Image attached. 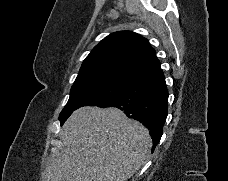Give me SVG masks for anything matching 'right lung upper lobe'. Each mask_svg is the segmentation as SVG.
<instances>
[{
	"mask_svg": "<svg viewBox=\"0 0 228 181\" xmlns=\"http://www.w3.org/2000/svg\"><path fill=\"white\" fill-rule=\"evenodd\" d=\"M158 65L155 50L147 39L131 31H119L94 47L76 79L99 75L133 79Z\"/></svg>",
	"mask_w": 228,
	"mask_h": 181,
	"instance_id": "right-lung-upper-lobe-1",
	"label": "right lung upper lobe"
}]
</instances>
